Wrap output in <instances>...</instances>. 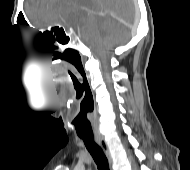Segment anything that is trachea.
<instances>
[{"instance_id":"obj_1","label":"trachea","mask_w":190,"mask_h":170,"mask_svg":"<svg viewBox=\"0 0 190 170\" xmlns=\"http://www.w3.org/2000/svg\"><path fill=\"white\" fill-rule=\"evenodd\" d=\"M80 138L92 155L98 170H110L108 159L102 148L94 141L93 135L80 136Z\"/></svg>"}]
</instances>
